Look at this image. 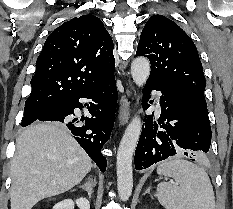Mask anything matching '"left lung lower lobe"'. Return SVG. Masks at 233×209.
I'll use <instances>...</instances> for the list:
<instances>
[{"label":"left lung lower lobe","instance_id":"obj_1","mask_svg":"<svg viewBox=\"0 0 233 209\" xmlns=\"http://www.w3.org/2000/svg\"><path fill=\"white\" fill-rule=\"evenodd\" d=\"M151 90L162 93L161 114L158 124L153 121V114L145 117L135 152L136 170L148 168L170 156H188V150L207 153L211 143L207 106L185 92L149 77L145 85L147 98ZM143 104L147 109V100Z\"/></svg>","mask_w":233,"mask_h":209}]
</instances>
